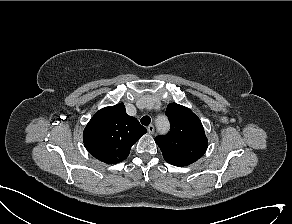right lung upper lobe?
I'll list each match as a JSON object with an SVG mask.
<instances>
[{
	"label": "right lung upper lobe",
	"instance_id": "1",
	"mask_svg": "<svg viewBox=\"0 0 292 224\" xmlns=\"http://www.w3.org/2000/svg\"><path fill=\"white\" fill-rule=\"evenodd\" d=\"M146 132V128L129 116L124 104L120 103L94 114L83 131V142L93 157L116 164L128 157L132 145Z\"/></svg>",
	"mask_w": 292,
	"mask_h": 224
}]
</instances>
